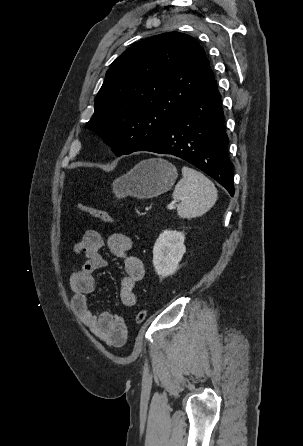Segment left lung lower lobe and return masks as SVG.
Masks as SVG:
<instances>
[{"label": "left lung lower lobe", "instance_id": "0a47b994", "mask_svg": "<svg viewBox=\"0 0 303 446\" xmlns=\"http://www.w3.org/2000/svg\"><path fill=\"white\" fill-rule=\"evenodd\" d=\"M135 151L180 157L214 178L233 196V164L215 78L186 103L164 133Z\"/></svg>", "mask_w": 303, "mask_h": 446}]
</instances>
